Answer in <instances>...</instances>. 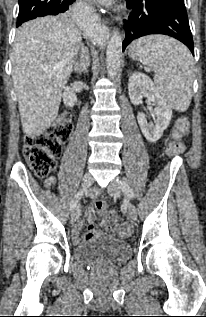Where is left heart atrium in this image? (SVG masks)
Instances as JSON below:
<instances>
[{"label":"left heart atrium","instance_id":"1","mask_svg":"<svg viewBox=\"0 0 206 317\" xmlns=\"http://www.w3.org/2000/svg\"><path fill=\"white\" fill-rule=\"evenodd\" d=\"M101 2H104V3H108L110 2L111 0H100Z\"/></svg>","mask_w":206,"mask_h":317}]
</instances>
